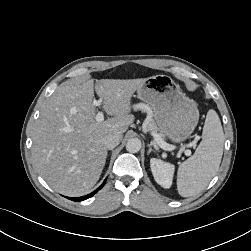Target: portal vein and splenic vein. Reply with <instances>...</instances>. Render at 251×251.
Returning a JSON list of instances; mask_svg holds the SVG:
<instances>
[{"instance_id": "18ae733b", "label": "portal vein and splenic vein", "mask_w": 251, "mask_h": 251, "mask_svg": "<svg viewBox=\"0 0 251 251\" xmlns=\"http://www.w3.org/2000/svg\"><path fill=\"white\" fill-rule=\"evenodd\" d=\"M101 102L102 99L99 100H94L93 101V105L95 106H101ZM96 121L101 122L104 120V114L103 112L99 111L95 117ZM153 137L155 138V141L157 142V144L164 150L167 151H171L174 149V147L172 145L167 144L165 141H163L157 134H152ZM185 155L186 156H190L191 155V151L190 150H185Z\"/></svg>"}]
</instances>
